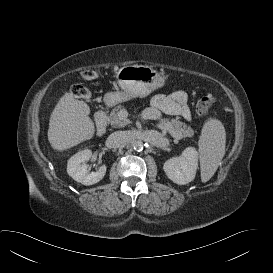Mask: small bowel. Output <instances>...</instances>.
I'll return each mask as SVG.
<instances>
[{"instance_id":"obj_1","label":"small bowel","mask_w":273,"mask_h":273,"mask_svg":"<svg viewBox=\"0 0 273 273\" xmlns=\"http://www.w3.org/2000/svg\"><path fill=\"white\" fill-rule=\"evenodd\" d=\"M150 116L158 119L162 114L179 116L185 120L191 118L188 96L183 91L155 95L151 100Z\"/></svg>"}]
</instances>
